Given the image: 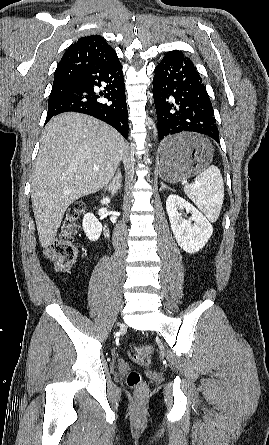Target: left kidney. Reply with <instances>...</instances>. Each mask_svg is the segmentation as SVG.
<instances>
[{"label":"left kidney","instance_id":"left-kidney-1","mask_svg":"<svg viewBox=\"0 0 269 445\" xmlns=\"http://www.w3.org/2000/svg\"><path fill=\"white\" fill-rule=\"evenodd\" d=\"M166 211L178 245L188 253L201 250L213 233L209 221L192 204L175 194L168 196ZM185 212L191 217L185 219Z\"/></svg>","mask_w":269,"mask_h":445}]
</instances>
